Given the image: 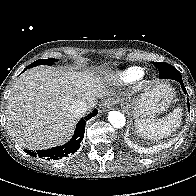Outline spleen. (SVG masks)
Segmentation results:
<instances>
[{"label": "spleen", "instance_id": "obj_1", "mask_svg": "<svg viewBox=\"0 0 196 196\" xmlns=\"http://www.w3.org/2000/svg\"><path fill=\"white\" fill-rule=\"evenodd\" d=\"M181 121L182 109L177 107L161 119H137L135 127L143 137L161 139L175 131L181 125Z\"/></svg>", "mask_w": 196, "mask_h": 196}]
</instances>
